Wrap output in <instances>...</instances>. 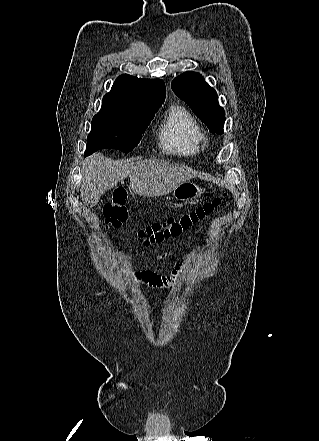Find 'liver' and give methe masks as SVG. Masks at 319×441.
<instances>
[{"instance_id": "6515ba94", "label": "liver", "mask_w": 319, "mask_h": 441, "mask_svg": "<svg viewBox=\"0 0 319 441\" xmlns=\"http://www.w3.org/2000/svg\"><path fill=\"white\" fill-rule=\"evenodd\" d=\"M196 175V171L165 160L112 161L100 153L86 159L80 191L83 203L93 207L101 196L120 181L130 178L131 190L139 196L158 197L172 192Z\"/></svg>"}]
</instances>
